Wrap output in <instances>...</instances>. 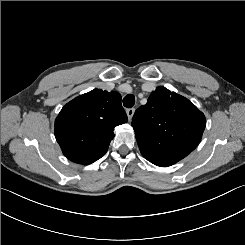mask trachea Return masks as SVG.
I'll return each instance as SVG.
<instances>
[{"instance_id": "obj_1", "label": "trachea", "mask_w": 245, "mask_h": 245, "mask_svg": "<svg viewBox=\"0 0 245 245\" xmlns=\"http://www.w3.org/2000/svg\"><path fill=\"white\" fill-rule=\"evenodd\" d=\"M135 103V97L132 94H128L123 99V104L127 108H131Z\"/></svg>"}]
</instances>
